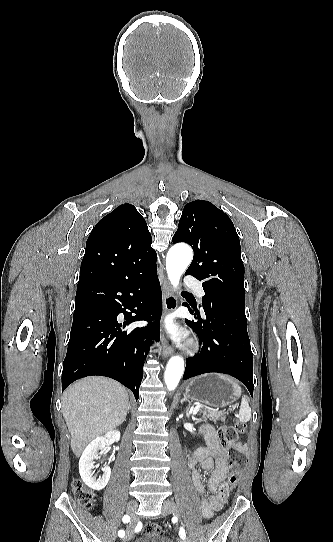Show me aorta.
I'll use <instances>...</instances> for the list:
<instances>
[{"instance_id": "aorta-1", "label": "aorta", "mask_w": 333, "mask_h": 542, "mask_svg": "<svg viewBox=\"0 0 333 542\" xmlns=\"http://www.w3.org/2000/svg\"><path fill=\"white\" fill-rule=\"evenodd\" d=\"M192 256L193 252L187 244H176L170 248L166 258V270L173 288L179 286L180 278L187 270ZM184 368L185 364L181 356L170 358L164 374V382L169 392L177 388L184 374Z\"/></svg>"}]
</instances>
